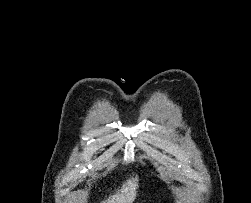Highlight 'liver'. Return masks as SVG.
<instances>
[{"label": "liver", "instance_id": "obj_1", "mask_svg": "<svg viewBox=\"0 0 251 203\" xmlns=\"http://www.w3.org/2000/svg\"><path fill=\"white\" fill-rule=\"evenodd\" d=\"M138 177L131 178L123 184L120 191L110 196L107 200L102 203H133L136 198L138 189Z\"/></svg>", "mask_w": 251, "mask_h": 203}]
</instances>
